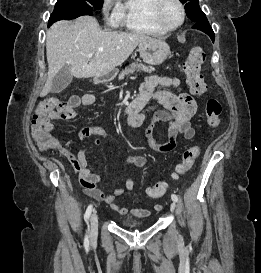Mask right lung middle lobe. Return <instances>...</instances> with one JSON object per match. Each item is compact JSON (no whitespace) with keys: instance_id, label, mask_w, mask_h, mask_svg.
Returning <instances> with one entry per match:
<instances>
[{"instance_id":"dd1d6c3e","label":"right lung middle lobe","mask_w":261,"mask_h":273,"mask_svg":"<svg viewBox=\"0 0 261 273\" xmlns=\"http://www.w3.org/2000/svg\"><path fill=\"white\" fill-rule=\"evenodd\" d=\"M102 0H58L49 24L61 20H71L82 15H92L93 10L101 9Z\"/></svg>"}]
</instances>
